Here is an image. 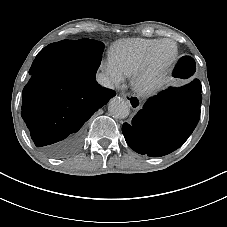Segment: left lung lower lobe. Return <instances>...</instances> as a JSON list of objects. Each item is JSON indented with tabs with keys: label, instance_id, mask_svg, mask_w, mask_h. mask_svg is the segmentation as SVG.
I'll return each instance as SVG.
<instances>
[{
	"label": "left lung lower lobe",
	"instance_id": "0a47b994",
	"mask_svg": "<svg viewBox=\"0 0 227 227\" xmlns=\"http://www.w3.org/2000/svg\"><path fill=\"white\" fill-rule=\"evenodd\" d=\"M194 71L195 63L180 62L173 76L185 79ZM201 90L200 81L194 79L183 87H169L150 98L131 124H123L127 144L150 157H161L179 148L199 121Z\"/></svg>",
	"mask_w": 227,
	"mask_h": 227
}]
</instances>
